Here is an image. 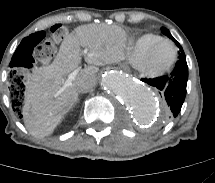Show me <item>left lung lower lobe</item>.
<instances>
[{"label":"left lung lower lobe","mask_w":215,"mask_h":183,"mask_svg":"<svg viewBox=\"0 0 215 183\" xmlns=\"http://www.w3.org/2000/svg\"><path fill=\"white\" fill-rule=\"evenodd\" d=\"M188 66L186 57L179 58L170 75L153 79H142L147 84L157 88L167 103L168 118L176 117L186 96Z\"/></svg>","instance_id":"0a47b994"}]
</instances>
